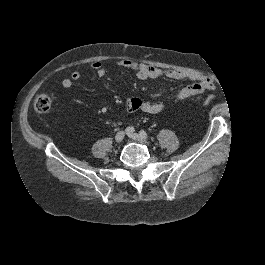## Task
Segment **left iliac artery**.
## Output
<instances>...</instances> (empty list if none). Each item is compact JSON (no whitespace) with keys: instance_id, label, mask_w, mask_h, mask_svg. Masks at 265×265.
Wrapping results in <instances>:
<instances>
[{"instance_id":"1","label":"left iliac artery","mask_w":265,"mask_h":265,"mask_svg":"<svg viewBox=\"0 0 265 265\" xmlns=\"http://www.w3.org/2000/svg\"><path fill=\"white\" fill-rule=\"evenodd\" d=\"M139 133H140V135L142 137H147L148 136L147 133L144 130H141Z\"/></svg>"}]
</instances>
